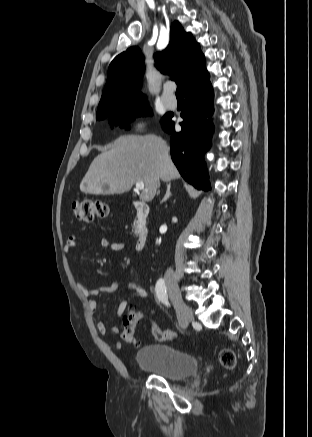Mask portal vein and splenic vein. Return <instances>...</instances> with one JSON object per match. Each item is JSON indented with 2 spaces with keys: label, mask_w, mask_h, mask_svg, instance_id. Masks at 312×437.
<instances>
[{
  "label": "portal vein and splenic vein",
  "mask_w": 312,
  "mask_h": 437,
  "mask_svg": "<svg viewBox=\"0 0 312 437\" xmlns=\"http://www.w3.org/2000/svg\"><path fill=\"white\" fill-rule=\"evenodd\" d=\"M136 189L137 190H143L144 189V183L143 182H136Z\"/></svg>",
  "instance_id": "obj_1"
}]
</instances>
